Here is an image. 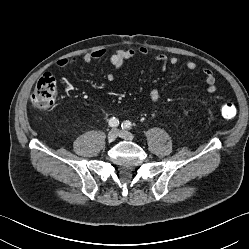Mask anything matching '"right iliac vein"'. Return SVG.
<instances>
[{"mask_svg":"<svg viewBox=\"0 0 249 249\" xmlns=\"http://www.w3.org/2000/svg\"><path fill=\"white\" fill-rule=\"evenodd\" d=\"M117 136H118V131L116 129H112L109 131L107 138L110 142H113L116 140Z\"/></svg>","mask_w":249,"mask_h":249,"instance_id":"obj_1","label":"right iliac vein"}]
</instances>
